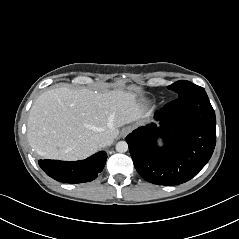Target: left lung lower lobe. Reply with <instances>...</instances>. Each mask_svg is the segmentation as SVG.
I'll return each mask as SVG.
<instances>
[{"instance_id":"0a47b994","label":"left lung lower lobe","mask_w":239,"mask_h":239,"mask_svg":"<svg viewBox=\"0 0 239 239\" xmlns=\"http://www.w3.org/2000/svg\"><path fill=\"white\" fill-rule=\"evenodd\" d=\"M161 127L148 125L126 137L134 166L148 182L177 185L209 161L216 143V118L205 90L177 98L155 113ZM161 137L165 144L157 146Z\"/></svg>"}]
</instances>
